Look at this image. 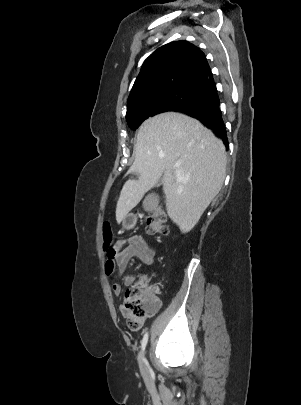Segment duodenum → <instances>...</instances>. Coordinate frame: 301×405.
I'll return each instance as SVG.
<instances>
[{
    "label": "duodenum",
    "instance_id": "duodenum-1",
    "mask_svg": "<svg viewBox=\"0 0 301 405\" xmlns=\"http://www.w3.org/2000/svg\"><path fill=\"white\" fill-rule=\"evenodd\" d=\"M143 204L145 207H149L150 212L154 213L161 206V201L156 194H149Z\"/></svg>",
    "mask_w": 301,
    "mask_h": 405
}]
</instances>
